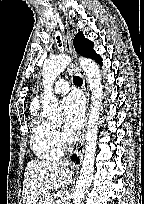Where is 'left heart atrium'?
Instances as JSON below:
<instances>
[{"instance_id":"39dd6f15","label":"left heart atrium","mask_w":144,"mask_h":204,"mask_svg":"<svg viewBox=\"0 0 144 204\" xmlns=\"http://www.w3.org/2000/svg\"><path fill=\"white\" fill-rule=\"evenodd\" d=\"M62 111L66 132L75 135L83 124L85 106L82 97L75 93L66 97L62 102Z\"/></svg>"}]
</instances>
